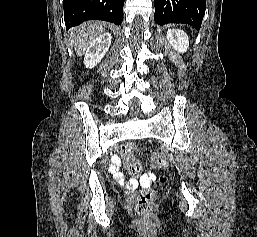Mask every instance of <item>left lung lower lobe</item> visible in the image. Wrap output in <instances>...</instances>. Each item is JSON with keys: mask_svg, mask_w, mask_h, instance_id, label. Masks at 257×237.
Here are the masks:
<instances>
[{"mask_svg": "<svg viewBox=\"0 0 257 237\" xmlns=\"http://www.w3.org/2000/svg\"><path fill=\"white\" fill-rule=\"evenodd\" d=\"M205 9L206 0H155L154 20L160 25L189 24L199 30Z\"/></svg>", "mask_w": 257, "mask_h": 237, "instance_id": "0a47b994", "label": "left lung lower lobe"}]
</instances>
